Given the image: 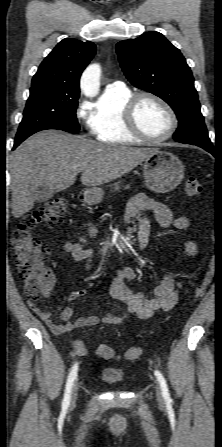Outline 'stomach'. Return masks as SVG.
Listing matches in <instances>:
<instances>
[{"label":"stomach","mask_w":222,"mask_h":447,"mask_svg":"<svg viewBox=\"0 0 222 447\" xmlns=\"http://www.w3.org/2000/svg\"><path fill=\"white\" fill-rule=\"evenodd\" d=\"M146 186L158 193L175 189L184 178V165L174 154L155 149L142 164ZM116 190L119 185L115 184ZM103 191L97 187L85 190L84 200L90 204H98L103 197Z\"/></svg>","instance_id":"0dacf381"}]
</instances>
